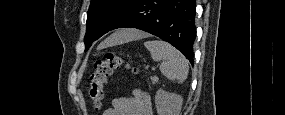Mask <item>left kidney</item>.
<instances>
[{
	"label": "left kidney",
	"mask_w": 285,
	"mask_h": 115,
	"mask_svg": "<svg viewBox=\"0 0 285 115\" xmlns=\"http://www.w3.org/2000/svg\"><path fill=\"white\" fill-rule=\"evenodd\" d=\"M183 98L175 93H169L163 89L156 92L155 104L158 115H179Z\"/></svg>",
	"instance_id": "obj_1"
}]
</instances>
